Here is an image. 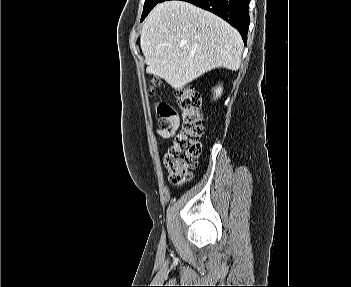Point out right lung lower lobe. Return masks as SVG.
<instances>
[{
    "label": "right lung lower lobe",
    "instance_id": "98d812e1",
    "mask_svg": "<svg viewBox=\"0 0 351 287\" xmlns=\"http://www.w3.org/2000/svg\"><path fill=\"white\" fill-rule=\"evenodd\" d=\"M166 0H161L159 3ZM210 11L221 17L241 34L244 44L247 42L249 28L248 7L250 0H182Z\"/></svg>",
    "mask_w": 351,
    "mask_h": 287
}]
</instances>
